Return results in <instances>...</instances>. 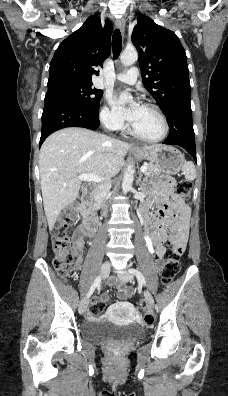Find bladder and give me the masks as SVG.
<instances>
[{"label": "bladder", "mask_w": 228, "mask_h": 396, "mask_svg": "<svg viewBox=\"0 0 228 396\" xmlns=\"http://www.w3.org/2000/svg\"><path fill=\"white\" fill-rule=\"evenodd\" d=\"M145 329L139 325H117L110 321L91 319L80 330L82 338L92 343L134 341L145 336Z\"/></svg>", "instance_id": "bladder-1"}]
</instances>
